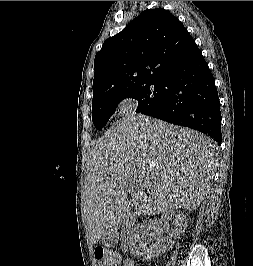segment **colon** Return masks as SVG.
<instances>
[{
	"label": "colon",
	"instance_id": "colon-1",
	"mask_svg": "<svg viewBox=\"0 0 253 266\" xmlns=\"http://www.w3.org/2000/svg\"><path fill=\"white\" fill-rule=\"evenodd\" d=\"M95 259L98 266H119V255L105 247L99 246L95 249Z\"/></svg>",
	"mask_w": 253,
	"mask_h": 266
}]
</instances>
